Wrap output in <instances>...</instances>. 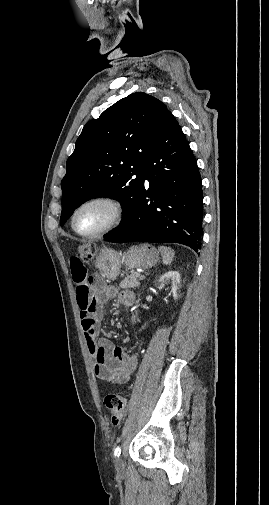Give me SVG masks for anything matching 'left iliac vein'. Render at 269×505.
Returning a JSON list of instances; mask_svg holds the SVG:
<instances>
[{"mask_svg":"<svg viewBox=\"0 0 269 505\" xmlns=\"http://www.w3.org/2000/svg\"><path fill=\"white\" fill-rule=\"evenodd\" d=\"M115 467H116L117 471L122 472L124 470V462H123L122 458L119 456L115 460Z\"/></svg>","mask_w":269,"mask_h":505,"instance_id":"4c4485c4","label":"left iliac vein"}]
</instances>
